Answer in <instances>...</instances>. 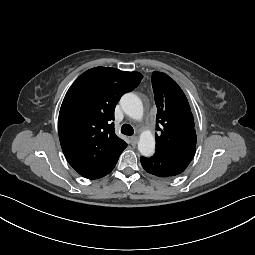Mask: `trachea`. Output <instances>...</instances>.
Segmentation results:
<instances>
[{
    "label": "trachea",
    "instance_id": "trachea-1",
    "mask_svg": "<svg viewBox=\"0 0 255 255\" xmlns=\"http://www.w3.org/2000/svg\"><path fill=\"white\" fill-rule=\"evenodd\" d=\"M121 133L124 134V135H133L134 134V129L132 128L131 125L129 124H124L122 125L121 127Z\"/></svg>",
    "mask_w": 255,
    "mask_h": 255
}]
</instances>
